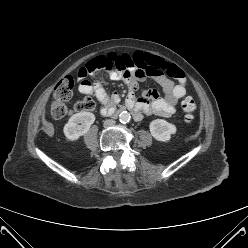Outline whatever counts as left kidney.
Instances as JSON below:
<instances>
[{"instance_id":"5707ae66","label":"left kidney","mask_w":248,"mask_h":248,"mask_svg":"<svg viewBox=\"0 0 248 248\" xmlns=\"http://www.w3.org/2000/svg\"><path fill=\"white\" fill-rule=\"evenodd\" d=\"M151 135L158 141L167 142L170 140L171 135L175 134L177 128L174 124L167 122L164 119L153 120L150 125Z\"/></svg>"}]
</instances>
